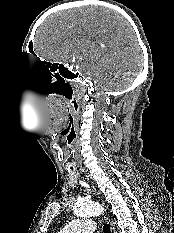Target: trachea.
I'll list each match as a JSON object with an SVG mask.
<instances>
[{"mask_svg":"<svg viewBox=\"0 0 174 233\" xmlns=\"http://www.w3.org/2000/svg\"><path fill=\"white\" fill-rule=\"evenodd\" d=\"M103 232H104V233H111V232H110V225H109V224H105V225L103 226Z\"/></svg>","mask_w":174,"mask_h":233,"instance_id":"obj_1","label":"trachea"}]
</instances>
